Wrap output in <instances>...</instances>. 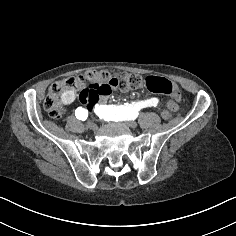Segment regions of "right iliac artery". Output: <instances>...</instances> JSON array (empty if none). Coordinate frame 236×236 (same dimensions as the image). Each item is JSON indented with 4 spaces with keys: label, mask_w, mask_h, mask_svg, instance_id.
Instances as JSON below:
<instances>
[{
    "label": "right iliac artery",
    "mask_w": 236,
    "mask_h": 236,
    "mask_svg": "<svg viewBox=\"0 0 236 236\" xmlns=\"http://www.w3.org/2000/svg\"><path fill=\"white\" fill-rule=\"evenodd\" d=\"M75 116L77 119L85 121L88 117V111L82 107H78L75 110Z\"/></svg>",
    "instance_id": "obj_1"
}]
</instances>
